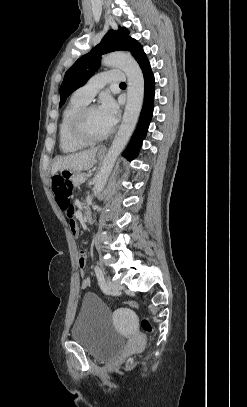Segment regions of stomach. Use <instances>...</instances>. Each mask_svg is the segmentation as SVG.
<instances>
[{"label":"stomach","instance_id":"obj_1","mask_svg":"<svg viewBox=\"0 0 247 407\" xmlns=\"http://www.w3.org/2000/svg\"><path fill=\"white\" fill-rule=\"evenodd\" d=\"M102 155L103 153L99 152V156L102 157ZM60 172L61 178H70L72 180L78 178V174L80 173L78 169H76V166H61Z\"/></svg>","mask_w":247,"mask_h":407}]
</instances>
